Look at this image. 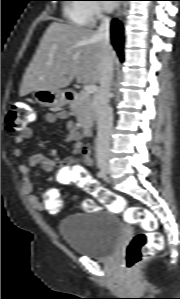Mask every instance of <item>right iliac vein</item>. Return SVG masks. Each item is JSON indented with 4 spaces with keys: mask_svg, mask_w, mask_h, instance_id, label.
I'll return each mask as SVG.
<instances>
[{
    "mask_svg": "<svg viewBox=\"0 0 180 299\" xmlns=\"http://www.w3.org/2000/svg\"><path fill=\"white\" fill-rule=\"evenodd\" d=\"M99 168L104 172H109V166L106 164L105 159H100L99 161Z\"/></svg>",
    "mask_w": 180,
    "mask_h": 299,
    "instance_id": "obj_1",
    "label": "right iliac vein"
}]
</instances>
